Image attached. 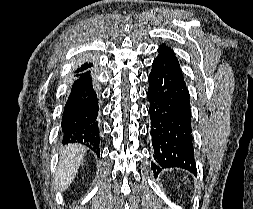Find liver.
Returning <instances> with one entry per match:
<instances>
[{"label":"liver","mask_w":253,"mask_h":209,"mask_svg":"<svg viewBox=\"0 0 253 209\" xmlns=\"http://www.w3.org/2000/svg\"><path fill=\"white\" fill-rule=\"evenodd\" d=\"M86 147L69 144L61 149L60 160L55 175V187L65 191L74 180L80 167Z\"/></svg>","instance_id":"obj_1"}]
</instances>
